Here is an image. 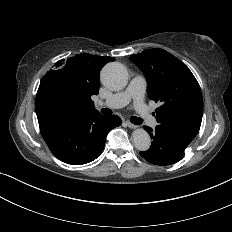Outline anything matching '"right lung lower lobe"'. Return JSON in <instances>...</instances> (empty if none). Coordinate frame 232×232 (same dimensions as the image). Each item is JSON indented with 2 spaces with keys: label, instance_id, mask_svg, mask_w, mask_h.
<instances>
[{
  "label": "right lung lower lobe",
  "instance_id": "1",
  "mask_svg": "<svg viewBox=\"0 0 232 232\" xmlns=\"http://www.w3.org/2000/svg\"><path fill=\"white\" fill-rule=\"evenodd\" d=\"M40 132L52 154L61 161L81 165L102 152L109 131L121 124L116 115L65 110L37 114Z\"/></svg>",
  "mask_w": 232,
  "mask_h": 232
}]
</instances>
